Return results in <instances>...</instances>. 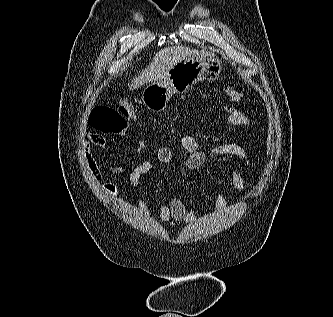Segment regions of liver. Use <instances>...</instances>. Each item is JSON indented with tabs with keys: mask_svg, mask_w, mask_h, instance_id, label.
<instances>
[{
	"mask_svg": "<svg viewBox=\"0 0 333 317\" xmlns=\"http://www.w3.org/2000/svg\"><path fill=\"white\" fill-rule=\"evenodd\" d=\"M196 49L182 45L164 48L155 54L153 62L131 85L132 89L139 88L144 83L161 80L166 77L170 69L182 60L193 58L198 55Z\"/></svg>",
	"mask_w": 333,
	"mask_h": 317,
	"instance_id": "1",
	"label": "liver"
}]
</instances>
